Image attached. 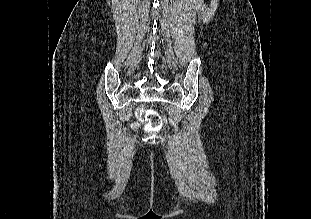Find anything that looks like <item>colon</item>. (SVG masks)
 <instances>
[{"mask_svg":"<svg viewBox=\"0 0 311 219\" xmlns=\"http://www.w3.org/2000/svg\"><path fill=\"white\" fill-rule=\"evenodd\" d=\"M137 117L146 123V129L149 132H155L162 126V118L155 110L139 108L137 110Z\"/></svg>","mask_w":311,"mask_h":219,"instance_id":"5ec220e1","label":"colon"}]
</instances>
